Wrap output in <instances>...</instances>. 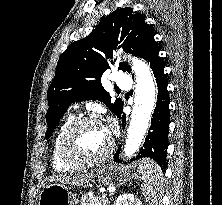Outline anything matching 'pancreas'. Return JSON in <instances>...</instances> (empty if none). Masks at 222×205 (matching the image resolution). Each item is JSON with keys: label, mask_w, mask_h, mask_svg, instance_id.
<instances>
[{"label": "pancreas", "mask_w": 222, "mask_h": 205, "mask_svg": "<svg viewBox=\"0 0 222 205\" xmlns=\"http://www.w3.org/2000/svg\"><path fill=\"white\" fill-rule=\"evenodd\" d=\"M107 198L105 196H87L81 198V205H106Z\"/></svg>", "instance_id": "pancreas-1"}]
</instances>
